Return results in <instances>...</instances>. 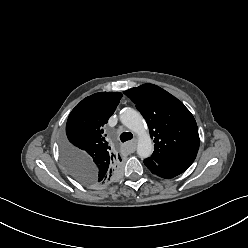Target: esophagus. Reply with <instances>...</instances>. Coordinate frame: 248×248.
Masks as SVG:
<instances>
[{"mask_svg":"<svg viewBox=\"0 0 248 248\" xmlns=\"http://www.w3.org/2000/svg\"><path fill=\"white\" fill-rule=\"evenodd\" d=\"M136 144H137V139L135 138V139L131 140V141L127 144L128 149H129L131 152H134L135 149H136Z\"/></svg>","mask_w":248,"mask_h":248,"instance_id":"34e87169","label":"esophagus"}]
</instances>
